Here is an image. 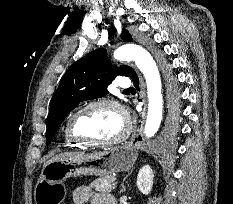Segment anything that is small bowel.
I'll list each match as a JSON object with an SVG mask.
<instances>
[{
	"label": "small bowel",
	"mask_w": 233,
	"mask_h": 204,
	"mask_svg": "<svg viewBox=\"0 0 233 204\" xmlns=\"http://www.w3.org/2000/svg\"><path fill=\"white\" fill-rule=\"evenodd\" d=\"M74 204H116L115 198L108 193H95L87 186L77 187L72 195Z\"/></svg>",
	"instance_id": "c3829d8e"
}]
</instances>
